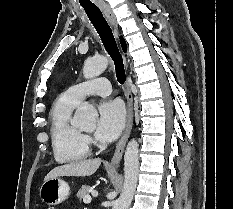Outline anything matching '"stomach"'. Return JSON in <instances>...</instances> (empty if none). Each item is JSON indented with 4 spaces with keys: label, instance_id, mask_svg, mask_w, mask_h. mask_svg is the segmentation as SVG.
<instances>
[{
    "label": "stomach",
    "instance_id": "0dacf381",
    "mask_svg": "<svg viewBox=\"0 0 233 209\" xmlns=\"http://www.w3.org/2000/svg\"><path fill=\"white\" fill-rule=\"evenodd\" d=\"M39 195L47 205H58L70 195V187L66 181L59 177L51 178L43 182Z\"/></svg>",
    "mask_w": 233,
    "mask_h": 209
}]
</instances>
